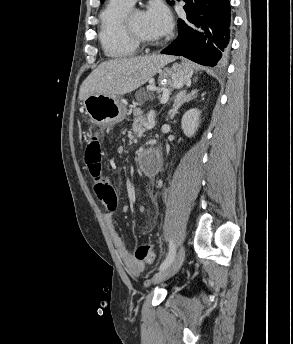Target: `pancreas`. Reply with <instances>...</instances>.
<instances>
[{
    "mask_svg": "<svg viewBox=\"0 0 293 344\" xmlns=\"http://www.w3.org/2000/svg\"><path fill=\"white\" fill-rule=\"evenodd\" d=\"M151 97H152V94L149 92L147 95V99L151 98ZM134 115H135V119H134L135 123L142 124L145 121V117H144V115H142L141 111L135 110Z\"/></svg>",
    "mask_w": 293,
    "mask_h": 344,
    "instance_id": "obj_1",
    "label": "pancreas"
}]
</instances>
